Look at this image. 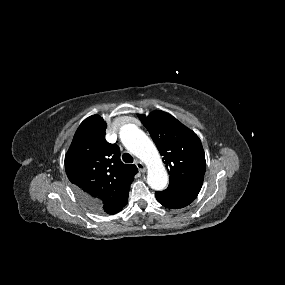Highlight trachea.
Here are the masks:
<instances>
[{"mask_svg": "<svg viewBox=\"0 0 285 285\" xmlns=\"http://www.w3.org/2000/svg\"><path fill=\"white\" fill-rule=\"evenodd\" d=\"M122 159H123V161L125 162V163H132L133 162V157H132V155H130L129 153H124L123 155H122Z\"/></svg>", "mask_w": 285, "mask_h": 285, "instance_id": "3493384b", "label": "trachea"}]
</instances>
